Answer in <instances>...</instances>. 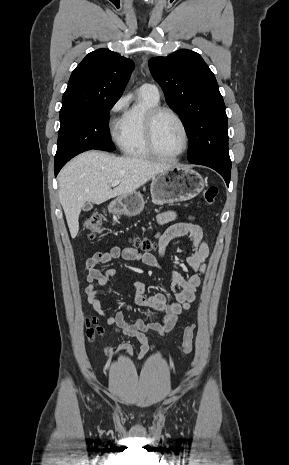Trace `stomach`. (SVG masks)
Returning a JSON list of instances; mask_svg holds the SVG:
<instances>
[{"label":"stomach","mask_w":289,"mask_h":465,"mask_svg":"<svg viewBox=\"0 0 289 465\" xmlns=\"http://www.w3.org/2000/svg\"><path fill=\"white\" fill-rule=\"evenodd\" d=\"M202 176L192 169L172 165L152 179L150 186L152 200L157 204L186 201L197 196L204 188ZM143 196L139 192L119 196L109 205L117 215L136 216L144 208Z\"/></svg>","instance_id":"stomach-1"}]
</instances>
